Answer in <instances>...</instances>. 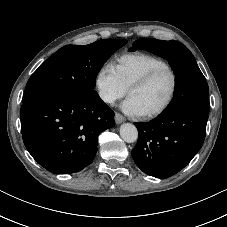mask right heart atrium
Here are the masks:
<instances>
[{"label":"right heart atrium","instance_id":"obj_1","mask_svg":"<svg viewBox=\"0 0 227 227\" xmlns=\"http://www.w3.org/2000/svg\"><path fill=\"white\" fill-rule=\"evenodd\" d=\"M94 84L98 97L107 105H113L127 92V88L122 84L111 65H103L98 69L94 77Z\"/></svg>","mask_w":227,"mask_h":227}]
</instances>
